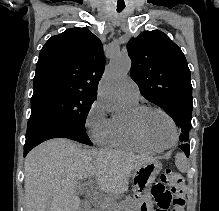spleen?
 I'll list each match as a JSON object with an SVG mask.
<instances>
[{"label": "spleen", "mask_w": 219, "mask_h": 211, "mask_svg": "<svg viewBox=\"0 0 219 211\" xmlns=\"http://www.w3.org/2000/svg\"><path fill=\"white\" fill-rule=\"evenodd\" d=\"M175 165L176 167H178L179 171H187L188 167H189V161L185 155V153H181V151H179V153H176L175 155Z\"/></svg>", "instance_id": "spleen-1"}]
</instances>
